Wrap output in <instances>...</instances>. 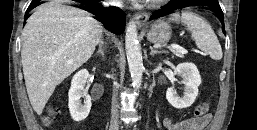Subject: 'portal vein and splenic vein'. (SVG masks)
<instances>
[{"label":"portal vein and splenic vein","instance_id":"18ae733b","mask_svg":"<svg viewBox=\"0 0 257 130\" xmlns=\"http://www.w3.org/2000/svg\"><path fill=\"white\" fill-rule=\"evenodd\" d=\"M172 49L176 50L177 52L181 53V54H186L187 50L177 46V45H172L171 46ZM72 61H69V63H71Z\"/></svg>","mask_w":257,"mask_h":130}]
</instances>
